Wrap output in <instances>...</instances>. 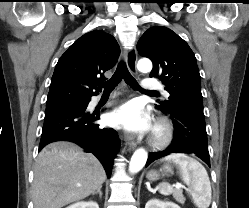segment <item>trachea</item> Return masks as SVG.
Segmentation results:
<instances>
[{"label":"trachea","instance_id":"obj_1","mask_svg":"<svg viewBox=\"0 0 249 208\" xmlns=\"http://www.w3.org/2000/svg\"><path fill=\"white\" fill-rule=\"evenodd\" d=\"M122 78H124V81L133 89L143 91L141 87L139 86V84L137 83L136 79L130 74L126 65L123 62H121L118 65L113 76L108 81L100 83V86L104 88L105 92H111L120 83ZM145 93H148L151 95L158 94V92L156 91L145 92Z\"/></svg>","mask_w":249,"mask_h":208}]
</instances>
